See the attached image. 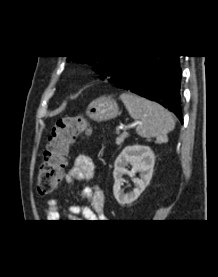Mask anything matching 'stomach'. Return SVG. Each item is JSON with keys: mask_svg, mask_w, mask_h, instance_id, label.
<instances>
[{"mask_svg": "<svg viewBox=\"0 0 218 277\" xmlns=\"http://www.w3.org/2000/svg\"><path fill=\"white\" fill-rule=\"evenodd\" d=\"M119 114L117 102L107 96L92 101L86 110V115L97 122L113 119Z\"/></svg>", "mask_w": 218, "mask_h": 277, "instance_id": "1", "label": "stomach"}]
</instances>
